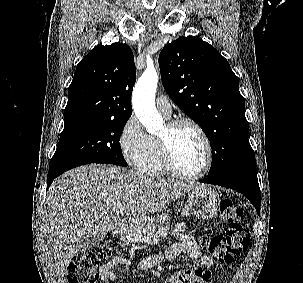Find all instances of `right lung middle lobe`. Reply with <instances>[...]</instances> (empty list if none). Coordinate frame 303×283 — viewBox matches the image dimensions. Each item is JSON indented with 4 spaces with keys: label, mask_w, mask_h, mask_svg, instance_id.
Listing matches in <instances>:
<instances>
[{
    "label": "right lung middle lobe",
    "mask_w": 303,
    "mask_h": 283,
    "mask_svg": "<svg viewBox=\"0 0 303 283\" xmlns=\"http://www.w3.org/2000/svg\"><path fill=\"white\" fill-rule=\"evenodd\" d=\"M127 120L91 115L65 118L64 129L49 168L90 163L126 167L119 140Z\"/></svg>",
    "instance_id": "right-lung-middle-lobe-1"
}]
</instances>
